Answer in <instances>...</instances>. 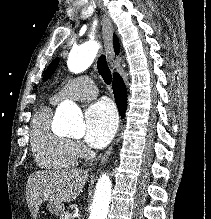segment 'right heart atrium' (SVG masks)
Segmentation results:
<instances>
[{
  "label": "right heart atrium",
  "mask_w": 211,
  "mask_h": 219,
  "mask_svg": "<svg viewBox=\"0 0 211 219\" xmlns=\"http://www.w3.org/2000/svg\"><path fill=\"white\" fill-rule=\"evenodd\" d=\"M72 145H73L75 152L78 154V156L86 155L87 150L85 149V147L83 146L82 143H80L78 141H73Z\"/></svg>",
  "instance_id": "right-heart-atrium-1"
}]
</instances>
